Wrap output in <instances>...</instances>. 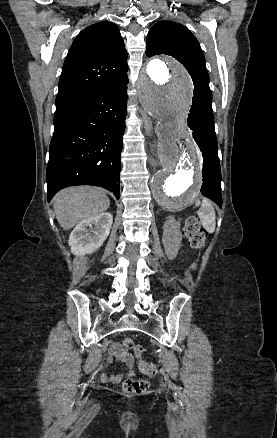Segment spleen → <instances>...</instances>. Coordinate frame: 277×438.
I'll return each mask as SVG.
<instances>
[{
	"mask_svg": "<svg viewBox=\"0 0 277 438\" xmlns=\"http://www.w3.org/2000/svg\"><path fill=\"white\" fill-rule=\"evenodd\" d=\"M198 216L203 228H205L209 234H213L215 230V210L209 200H203Z\"/></svg>",
	"mask_w": 277,
	"mask_h": 438,
	"instance_id": "spleen-1",
	"label": "spleen"
}]
</instances>
